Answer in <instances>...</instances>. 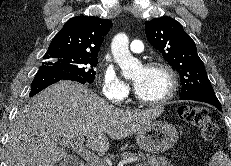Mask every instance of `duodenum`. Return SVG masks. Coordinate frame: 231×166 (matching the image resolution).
I'll return each mask as SVG.
<instances>
[{
	"mask_svg": "<svg viewBox=\"0 0 231 166\" xmlns=\"http://www.w3.org/2000/svg\"><path fill=\"white\" fill-rule=\"evenodd\" d=\"M63 166H84V163L77 157H70Z\"/></svg>",
	"mask_w": 231,
	"mask_h": 166,
	"instance_id": "duodenum-1",
	"label": "duodenum"
}]
</instances>
